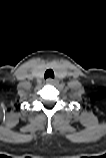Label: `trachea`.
<instances>
[{
  "label": "trachea",
  "instance_id": "3493384b",
  "mask_svg": "<svg viewBox=\"0 0 106 158\" xmlns=\"http://www.w3.org/2000/svg\"><path fill=\"white\" fill-rule=\"evenodd\" d=\"M45 78H54V72L52 69H48L46 72H45Z\"/></svg>",
  "mask_w": 106,
  "mask_h": 158
}]
</instances>
